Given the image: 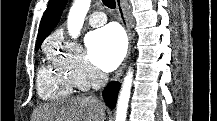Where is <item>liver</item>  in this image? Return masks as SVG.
I'll return each mask as SVG.
<instances>
[{"mask_svg": "<svg viewBox=\"0 0 217 121\" xmlns=\"http://www.w3.org/2000/svg\"><path fill=\"white\" fill-rule=\"evenodd\" d=\"M37 121H105L104 105L92 97H72L37 111Z\"/></svg>", "mask_w": 217, "mask_h": 121, "instance_id": "6515ba94", "label": "liver"}]
</instances>
